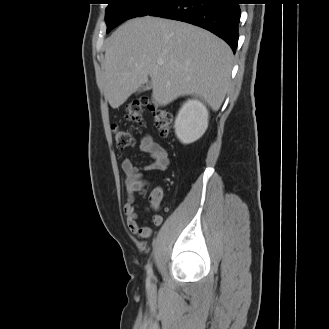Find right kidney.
Here are the masks:
<instances>
[{
  "mask_svg": "<svg viewBox=\"0 0 329 329\" xmlns=\"http://www.w3.org/2000/svg\"><path fill=\"white\" fill-rule=\"evenodd\" d=\"M209 112L197 99H189L180 108L175 119V134L183 144L198 140L208 127Z\"/></svg>",
  "mask_w": 329,
  "mask_h": 329,
  "instance_id": "1",
  "label": "right kidney"
}]
</instances>
